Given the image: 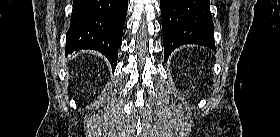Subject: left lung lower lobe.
I'll list each match as a JSON object with an SVG mask.
<instances>
[{
	"label": "left lung lower lobe",
	"mask_w": 280,
	"mask_h": 137,
	"mask_svg": "<svg viewBox=\"0 0 280 137\" xmlns=\"http://www.w3.org/2000/svg\"><path fill=\"white\" fill-rule=\"evenodd\" d=\"M209 0H160L164 60L184 44L215 49Z\"/></svg>",
	"instance_id": "left-lung-lower-lobe-1"
}]
</instances>
